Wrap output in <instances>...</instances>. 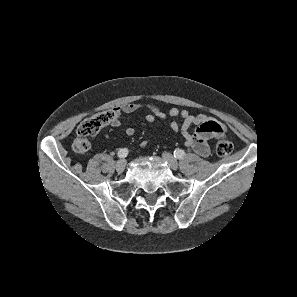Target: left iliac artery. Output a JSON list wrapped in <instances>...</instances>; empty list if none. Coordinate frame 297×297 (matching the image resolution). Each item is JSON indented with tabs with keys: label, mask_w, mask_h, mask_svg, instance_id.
I'll return each instance as SVG.
<instances>
[{
	"label": "left iliac artery",
	"mask_w": 297,
	"mask_h": 297,
	"mask_svg": "<svg viewBox=\"0 0 297 297\" xmlns=\"http://www.w3.org/2000/svg\"><path fill=\"white\" fill-rule=\"evenodd\" d=\"M174 156H175L176 158H178V159H181V158H183V157L185 156V151L182 150V149H176V150L174 151Z\"/></svg>",
	"instance_id": "44dca946"
}]
</instances>
